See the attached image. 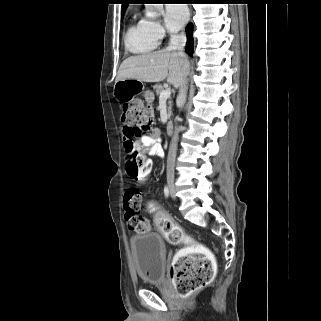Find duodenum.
I'll return each instance as SVG.
<instances>
[{
	"label": "duodenum",
	"mask_w": 321,
	"mask_h": 321,
	"mask_svg": "<svg viewBox=\"0 0 321 321\" xmlns=\"http://www.w3.org/2000/svg\"><path fill=\"white\" fill-rule=\"evenodd\" d=\"M165 129H166V133L167 134H172V132H173V123L172 122H167V124H166V127H165Z\"/></svg>",
	"instance_id": "410a0bca"
}]
</instances>
